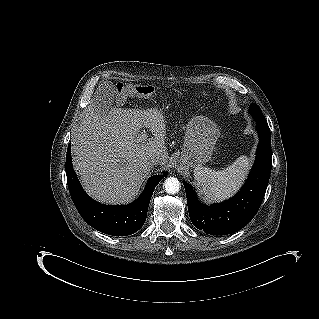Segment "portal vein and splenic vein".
<instances>
[{
  "label": "portal vein and splenic vein",
  "mask_w": 319,
  "mask_h": 319,
  "mask_svg": "<svg viewBox=\"0 0 319 319\" xmlns=\"http://www.w3.org/2000/svg\"><path fill=\"white\" fill-rule=\"evenodd\" d=\"M147 138V134L143 133L141 134L139 137H137L136 142L137 143H141L142 141H144Z\"/></svg>",
  "instance_id": "18ae733b"
}]
</instances>
